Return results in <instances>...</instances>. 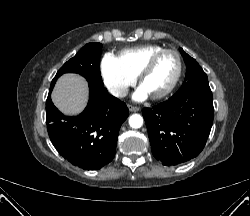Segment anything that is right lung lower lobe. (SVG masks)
Instances as JSON below:
<instances>
[{
	"mask_svg": "<svg viewBox=\"0 0 250 216\" xmlns=\"http://www.w3.org/2000/svg\"><path fill=\"white\" fill-rule=\"evenodd\" d=\"M53 87L46 101V123L56 150L85 170L100 169L111 162L119 129L129 115L126 104L109 95L104 86L89 84L87 107L80 115L67 117L51 101Z\"/></svg>",
	"mask_w": 250,
	"mask_h": 216,
	"instance_id": "obj_1",
	"label": "right lung lower lobe"
}]
</instances>
